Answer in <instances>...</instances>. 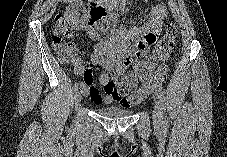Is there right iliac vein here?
Instances as JSON below:
<instances>
[{"label": "right iliac vein", "instance_id": "obj_1", "mask_svg": "<svg viewBox=\"0 0 227 157\" xmlns=\"http://www.w3.org/2000/svg\"><path fill=\"white\" fill-rule=\"evenodd\" d=\"M74 101H75V106L77 107L81 101V94L78 90L74 92Z\"/></svg>", "mask_w": 227, "mask_h": 157}]
</instances>
